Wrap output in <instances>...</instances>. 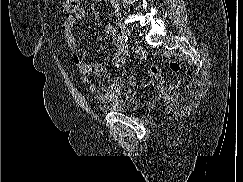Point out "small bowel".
Segmentation results:
<instances>
[{
    "instance_id": "small-bowel-1",
    "label": "small bowel",
    "mask_w": 243,
    "mask_h": 182,
    "mask_svg": "<svg viewBox=\"0 0 243 182\" xmlns=\"http://www.w3.org/2000/svg\"><path fill=\"white\" fill-rule=\"evenodd\" d=\"M86 18V11L83 8H79L75 13L67 16L61 25V31L66 39L69 49L73 54V62L77 66L81 74V82L87 85L94 95V97L100 102H114L118 99L119 95L123 91V84L121 81L116 80L111 87L105 91H100L95 84L92 83L91 77L97 76L102 70L101 63H88L86 61V55L77 44L76 37L74 35L75 26ZM106 31L113 37L116 51L112 59V66L118 67L122 65L128 54V46L120 40L114 38V29L111 25H106ZM135 54L138 58L144 57V52L141 48L135 50ZM129 91V90H127ZM126 91V92H127Z\"/></svg>"
}]
</instances>
